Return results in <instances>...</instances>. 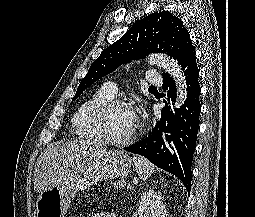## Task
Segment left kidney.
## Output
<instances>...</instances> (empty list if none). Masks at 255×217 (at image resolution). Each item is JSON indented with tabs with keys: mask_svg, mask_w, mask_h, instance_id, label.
<instances>
[{
	"mask_svg": "<svg viewBox=\"0 0 255 217\" xmlns=\"http://www.w3.org/2000/svg\"><path fill=\"white\" fill-rule=\"evenodd\" d=\"M138 215L139 217H167L161 194L153 189L144 192L141 196Z\"/></svg>",
	"mask_w": 255,
	"mask_h": 217,
	"instance_id": "5707ae66",
	"label": "left kidney"
}]
</instances>
